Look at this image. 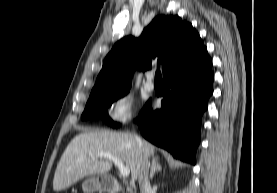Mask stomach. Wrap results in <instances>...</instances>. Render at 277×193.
Here are the masks:
<instances>
[{"label": "stomach", "instance_id": "stomach-1", "mask_svg": "<svg viewBox=\"0 0 277 193\" xmlns=\"http://www.w3.org/2000/svg\"><path fill=\"white\" fill-rule=\"evenodd\" d=\"M112 188V179L106 175L92 176L82 183V189L85 193H94L96 191L108 192Z\"/></svg>", "mask_w": 277, "mask_h": 193}]
</instances>
